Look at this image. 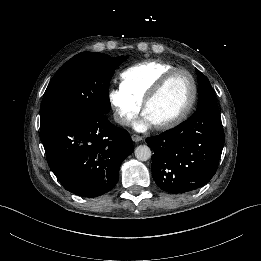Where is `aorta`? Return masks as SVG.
<instances>
[{
    "label": "aorta",
    "mask_w": 261,
    "mask_h": 261,
    "mask_svg": "<svg viewBox=\"0 0 261 261\" xmlns=\"http://www.w3.org/2000/svg\"><path fill=\"white\" fill-rule=\"evenodd\" d=\"M135 157L139 161H147L151 158V150L147 145H139L135 149Z\"/></svg>",
    "instance_id": "762f6f07"
}]
</instances>
